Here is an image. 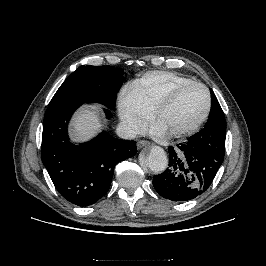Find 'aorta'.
<instances>
[{
	"label": "aorta",
	"mask_w": 266,
	"mask_h": 266,
	"mask_svg": "<svg viewBox=\"0 0 266 266\" xmlns=\"http://www.w3.org/2000/svg\"><path fill=\"white\" fill-rule=\"evenodd\" d=\"M144 162L145 165L155 173L164 171L168 165L166 152L159 146L151 147Z\"/></svg>",
	"instance_id": "aorta-1"
}]
</instances>
